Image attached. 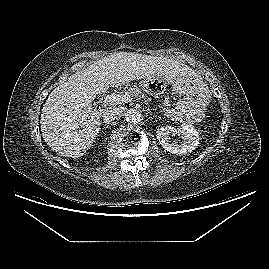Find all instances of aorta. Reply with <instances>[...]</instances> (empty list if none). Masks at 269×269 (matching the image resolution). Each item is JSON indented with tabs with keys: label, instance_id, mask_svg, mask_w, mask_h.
<instances>
[{
	"label": "aorta",
	"instance_id": "762f6f07",
	"mask_svg": "<svg viewBox=\"0 0 269 269\" xmlns=\"http://www.w3.org/2000/svg\"><path fill=\"white\" fill-rule=\"evenodd\" d=\"M142 114L135 109H130L125 113V120L132 124H137L142 121Z\"/></svg>",
	"mask_w": 269,
	"mask_h": 269
}]
</instances>
